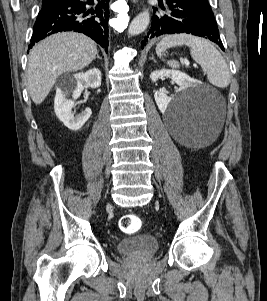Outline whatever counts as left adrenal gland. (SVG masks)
<instances>
[{"instance_id":"left-adrenal-gland-1","label":"left adrenal gland","mask_w":267,"mask_h":301,"mask_svg":"<svg viewBox=\"0 0 267 301\" xmlns=\"http://www.w3.org/2000/svg\"><path fill=\"white\" fill-rule=\"evenodd\" d=\"M149 59L152 60V61H154V62L156 63V60H155V58H154V55H152Z\"/></svg>"}]
</instances>
